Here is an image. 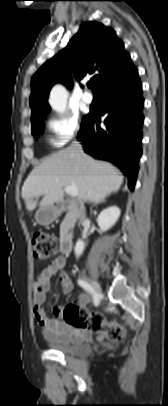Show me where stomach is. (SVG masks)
Masks as SVG:
<instances>
[{"label": "stomach", "instance_id": "1", "mask_svg": "<svg viewBox=\"0 0 168 406\" xmlns=\"http://www.w3.org/2000/svg\"><path fill=\"white\" fill-rule=\"evenodd\" d=\"M57 214L58 212L56 208L48 206L38 210L35 214V219L41 225H48L53 222L57 217Z\"/></svg>", "mask_w": 168, "mask_h": 406}]
</instances>
